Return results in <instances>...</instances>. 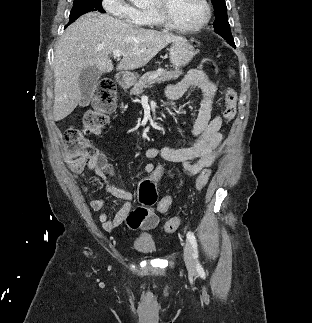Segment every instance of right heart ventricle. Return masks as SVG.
I'll use <instances>...</instances> for the list:
<instances>
[{
	"label": "right heart ventricle",
	"mask_w": 312,
	"mask_h": 323,
	"mask_svg": "<svg viewBox=\"0 0 312 323\" xmlns=\"http://www.w3.org/2000/svg\"><path fill=\"white\" fill-rule=\"evenodd\" d=\"M142 25H158L160 23L159 13L155 9H138Z\"/></svg>",
	"instance_id": "e07e8e85"
}]
</instances>
